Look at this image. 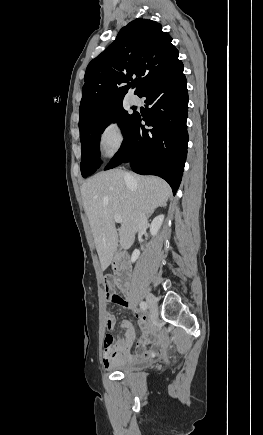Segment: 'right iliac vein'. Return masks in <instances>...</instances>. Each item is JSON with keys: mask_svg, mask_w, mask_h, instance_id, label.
Segmentation results:
<instances>
[{"mask_svg": "<svg viewBox=\"0 0 263 435\" xmlns=\"http://www.w3.org/2000/svg\"><path fill=\"white\" fill-rule=\"evenodd\" d=\"M146 302H147L148 307L150 309L151 316L154 317L156 312H157V309H158L157 301H156L155 297L152 294H148L146 296Z\"/></svg>", "mask_w": 263, "mask_h": 435, "instance_id": "63e3f726", "label": "right iliac vein"}]
</instances>
